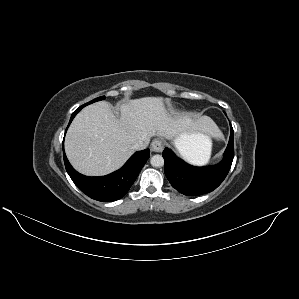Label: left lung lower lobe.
Here are the masks:
<instances>
[{
    "mask_svg": "<svg viewBox=\"0 0 299 299\" xmlns=\"http://www.w3.org/2000/svg\"><path fill=\"white\" fill-rule=\"evenodd\" d=\"M233 136L234 131L231 126L224 159L219 164L210 167L189 165L166 147L162 155L165 161V175L171 185L188 196L202 195L216 189L227 176L234 158Z\"/></svg>",
    "mask_w": 299,
    "mask_h": 299,
    "instance_id": "1",
    "label": "left lung lower lobe"
}]
</instances>
